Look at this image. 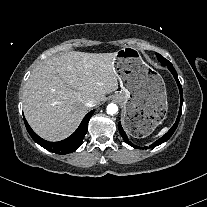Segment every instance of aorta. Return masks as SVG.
<instances>
[{
  "label": "aorta",
  "mask_w": 207,
  "mask_h": 207,
  "mask_svg": "<svg viewBox=\"0 0 207 207\" xmlns=\"http://www.w3.org/2000/svg\"><path fill=\"white\" fill-rule=\"evenodd\" d=\"M118 112V106L116 104L110 103L107 105V113L109 115H114Z\"/></svg>",
  "instance_id": "762f6f07"
}]
</instances>
